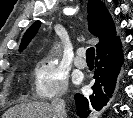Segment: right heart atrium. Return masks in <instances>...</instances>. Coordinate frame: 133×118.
Wrapping results in <instances>:
<instances>
[{
    "instance_id": "1",
    "label": "right heart atrium",
    "mask_w": 133,
    "mask_h": 118,
    "mask_svg": "<svg viewBox=\"0 0 133 118\" xmlns=\"http://www.w3.org/2000/svg\"><path fill=\"white\" fill-rule=\"evenodd\" d=\"M33 77L34 95L39 100H50L67 92V73L52 57L42 58L36 62Z\"/></svg>"
}]
</instances>
